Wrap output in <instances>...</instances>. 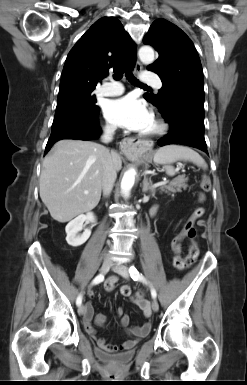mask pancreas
I'll use <instances>...</instances> for the list:
<instances>
[{
	"mask_svg": "<svg viewBox=\"0 0 247 385\" xmlns=\"http://www.w3.org/2000/svg\"><path fill=\"white\" fill-rule=\"evenodd\" d=\"M188 178L185 175H179L170 181L168 184L160 186L161 192L170 193V192H181V189H186Z\"/></svg>",
	"mask_w": 247,
	"mask_h": 385,
	"instance_id": "1",
	"label": "pancreas"
}]
</instances>
